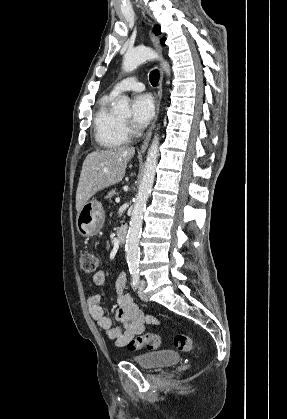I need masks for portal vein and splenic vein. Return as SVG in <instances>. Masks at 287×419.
I'll return each mask as SVG.
<instances>
[{"label": "portal vein and splenic vein", "instance_id": "portal-vein-and-splenic-vein-1", "mask_svg": "<svg viewBox=\"0 0 287 419\" xmlns=\"http://www.w3.org/2000/svg\"><path fill=\"white\" fill-rule=\"evenodd\" d=\"M115 202H116V203H119V202H120V198H119V197H117V198L115 199Z\"/></svg>", "mask_w": 287, "mask_h": 419}]
</instances>
